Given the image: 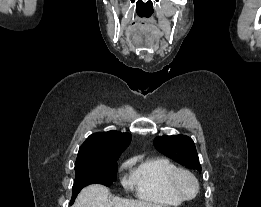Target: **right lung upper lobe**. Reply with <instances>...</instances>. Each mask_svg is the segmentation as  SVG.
<instances>
[{
	"mask_svg": "<svg viewBox=\"0 0 261 207\" xmlns=\"http://www.w3.org/2000/svg\"><path fill=\"white\" fill-rule=\"evenodd\" d=\"M130 141V133L118 131L94 133L80 146L75 165L109 162L119 157Z\"/></svg>",
	"mask_w": 261,
	"mask_h": 207,
	"instance_id": "1",
	"label": "right lung upper lobe"
}]
</instances>
